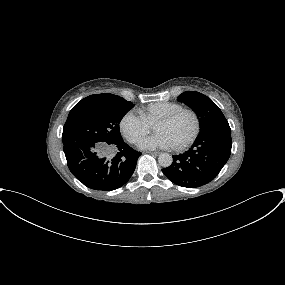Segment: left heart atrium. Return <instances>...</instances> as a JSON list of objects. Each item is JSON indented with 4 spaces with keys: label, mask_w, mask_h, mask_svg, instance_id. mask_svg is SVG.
Segmentation results:
<instances>
[{
    "label": "left heart atrium",
    "mask_w": 285,
    "mask_h": 285,
    "mask_svg": "<svg viewBox=\"0 0 285 285\" xmlns=\"http://www.w3.org/2000/svg\"><path fill=\"white\" fill-rule=\"evenodd\" d=\"M141 149H166L173 147L169 138L163 133H155L141 139L138 143Z\"/></svg>",
    "instance_id": "obj_1"
}]
</instances>
